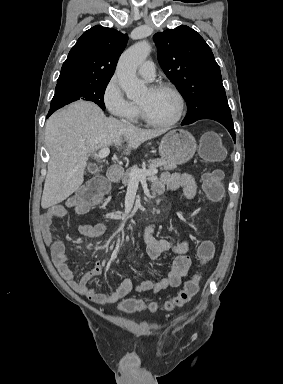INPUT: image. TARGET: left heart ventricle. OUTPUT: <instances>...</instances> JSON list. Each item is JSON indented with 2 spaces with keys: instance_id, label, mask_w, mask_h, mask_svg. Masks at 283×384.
<instances>
[{
  "instance_id": "1",
  "label": "left heart ventricle",
  "mask_w": 283,
  "mask_h": 384,
  "mask_svg": "<svg viewBox=\"0 0 283 384\" xmlns=\"http://www.w3.org/2000/svg\"><path fill=\"white\" fill-rule=\"evenodd\" d=\"M138 104L149 119L159 123L172 120L178 109L175 96L167 90L148 88L138 100Z\"/></svg>"
}]
</instances>
